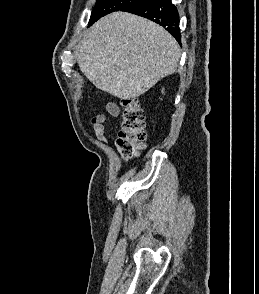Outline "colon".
I'll list each match as a JSON object with an SVG mask.
<instances>
[{
	"label": "colon",
	"mask_w": 259,
	"mask_h": 294,
	"mask_svg": "<svg viewBox=\"0 0 259 294\" xmlns=\"http://www.w3.org/2000/svg\"><path fill=\"white\" fill-rule=\"evenodd\" d=\"M146 140L145 113L136 98L122 101L121 128L117 144L125 158L134 157Z\"/></svg>",
	"instance_id": "5ec220e1"
}]
</instances>
